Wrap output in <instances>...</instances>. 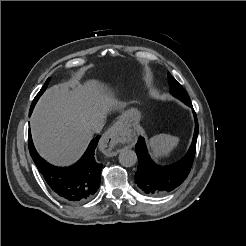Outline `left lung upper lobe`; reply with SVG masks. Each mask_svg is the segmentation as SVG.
<instances>
[{
    "instance_id": "left-lung-upper-lobe-1",
    "label": "left lung upper lobe",
    "mask_w": 246,
    "mask_h": 246,
    "mask_svg": "<svg viewBox=\"0 0 246 246\" xmlns=\"http://www.w3.org/2000/svg\"><path fill=\"white\" fill-rule=\"evenodd\" d=\"M168 82L170 85V91L175 97L179 98L183 102L190 100L187 92L169 73H168Z\"/></svg>"
}]
</instances>
